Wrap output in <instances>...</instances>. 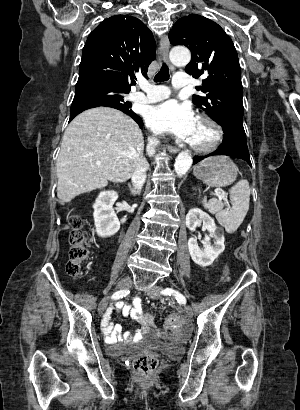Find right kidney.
Segmentation results:
<instances>
[{"label": "right kidney", "instance_id": "1", "mask_svg": "<svg viewBox=\"0 0 300 410\" xmlns=\"http://www.w3.org/2000/svg\"><path fill=\"white\" fill-rule=\"evenodd\" d=\"M117 199V192L113 190L103 191L100 192L93 204L96 232L100 237L112 236L120 229V222L113 209V204Z\"/></svg>", "mask_w": 300, "mask_h": 410}]
</instances>
